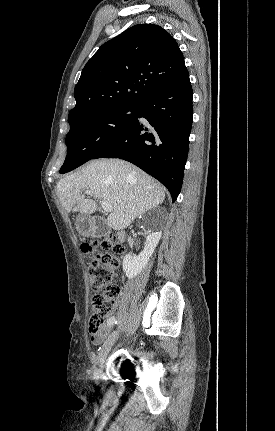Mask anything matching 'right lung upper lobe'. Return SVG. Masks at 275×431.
Segmentation results:
<instances>
[{
	"instance_id": "1",
	"label": "right lung upper lobe",
	"mask_w": 275,
	"mask_h": 431,
	"mask_svg": "<svg viewBox=\"0 0 275 431\" xmlns=\"http://www.w3.org/2000/svg\"><path fill=\"white\" fill-rule=\"evenodd\" d=\"M186 66L175 39L162 27L135 25L103 44L82 70L69 124L94 111L137 106L171 85Z\"/></svg>"
}]
</instances>
